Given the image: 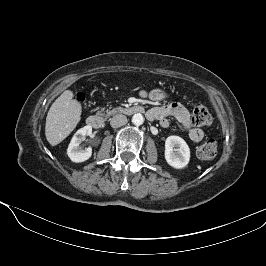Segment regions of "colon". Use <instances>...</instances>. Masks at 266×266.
Wrapping results in <instances>:
<instances>
[{"mask_svg": "<svg viewBox=\"0 0 266 266\" xmlns=\"http://www.w3.org/2000/svg\"><path fill=\"white\" fill-rule=\"evenodd\" d=\"M79 101H83V96H78ZM212 122V116L203 104H197L193 110L192 123L195 126H208ZM200 159L211 160L217 154V142L214 139H208L197 149Z\"/></svg>", "mask_w": 266, "mask_h": 266, "instance_id": "obj_1", "label": "colon"}]
</instances>
